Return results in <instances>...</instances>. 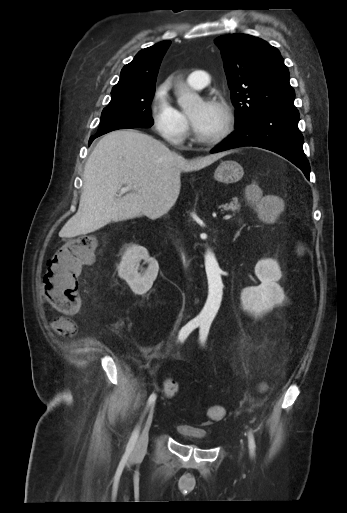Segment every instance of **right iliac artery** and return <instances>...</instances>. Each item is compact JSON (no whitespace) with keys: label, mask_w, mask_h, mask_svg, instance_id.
Here are the masks:
<instances>
[{"label":"right iliac artery","mask_w":347,"mask_h":513,"mask_svg":"<svg viewBox=\"0 0 347 513\" xmlns=\"http://www.w3.org/2000/svg\"><path fill=\"white\" fill-rule=\"evenodd\" d=\"M202 320L201 319H198V318H194L192 319L191 321H189L185 326H183L181 328V330L179 331V334H178V341L183 343L186 338L189 336V334L194 330L196 329L199 325L202 324ZM156 400V394H151L149 399H148V405L150 406L152 403H154ZM138 434H139V426H137L130 439H129V442L127 444V447H126V452L127 453H130L132 452L135 444H136V441H137V438H138Z\"/></svg>","instance_id":"right-iliac-artery-1"}]
</instances>
